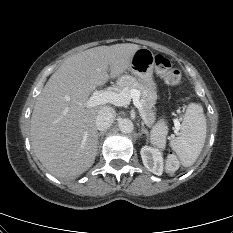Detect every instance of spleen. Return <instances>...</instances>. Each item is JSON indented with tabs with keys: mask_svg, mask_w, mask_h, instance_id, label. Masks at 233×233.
<instances>
[{
	"mask_svg": "<svg viewBox=\"0 0 233 233\" xmlns=\"http://www.w3.org/2000/svg\"><path fill=\"white\" fill-rule=\"evenodd\" d=\"M180 128V136L170 141V147L177 154L180 163L189 167L198 159L206 139V118L200 104L188 105ZM151 137L154 142L152 135ZM174 160L175 158H171L167 161L169 172L176 170L172 166Z\"/></svg>",
	"mask_w": 233,
	"mask_h": 233,
	"instance_id": "obj_1",
	"label": "spleen"
}]
</instances>
